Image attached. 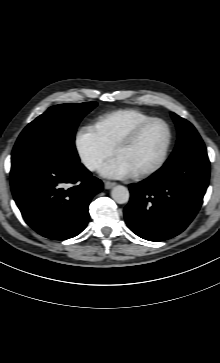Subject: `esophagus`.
I'll return each instance as SVG.
<instances>
[{
    "label": "esophagus",
    "mask_w": 220,
    "mask_h": 363,
    "mask_svg": "<svg viewBox=\"0 0 220 363\" xmlns=\"http://www.w3.org/2000/svg\"><path fill=\"white\" fill-rule=\"evenodd\" d=\"M115 185H116V183H115V182H110V181H106V182L104 183V187H105V189H111V188H113Z\"/></svg>",
    "instance_id": "34e87169"
}]
</instances>
